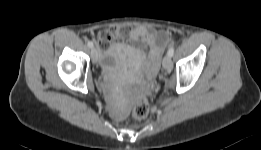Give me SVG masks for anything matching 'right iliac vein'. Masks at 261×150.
Listing matches in <instances>:
<instances>
[{"label": "right iliac vein", "instance_id": "obj_1", "mask_svg": "<svg viewBox=\"0 0 261 150\" xmlns=\"http://www.w3.org/2000/svg\"><path fill=\"white\" fill-rule=\"evenodd\" d=\"M91 57H92V61L94 63H96L98 61V57H99V51L96 47H93L91 50Z\"/></svg>", "mask_w": 261, "mask_h": 150}]
</instances>
